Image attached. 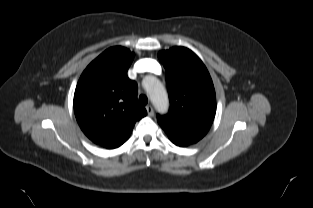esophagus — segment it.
<instances>
[{"label":"esophagus","mask_w":313,"mask_h":208,"mask_svg":"<svg viewBox=\"0 0 313 208\" xmlns=\"http://www.w3.org/2000/svg\"><path fill=\"white\" fill-rule=\"evenodd\" d=\"M146 110L149 116H153L154 115V110L153 107L151 105L146 106Z\"/></svg>","instance_id":"34e87169"}]
</instances>
